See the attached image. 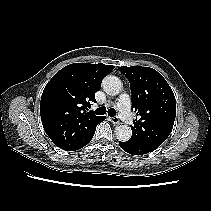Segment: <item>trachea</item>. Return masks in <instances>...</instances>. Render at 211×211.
Returning a JSON list of instances; mask_svg holds the SVG:
<instances>
[{
    "label": "trachea",
    "instance_id": "obj_1",
    "mask_svg": "<svg viewBox=\"0 0 211 211\" xmlns=\"http://www.w3.org/2000/svg\"><path fill=\"white\" fill-rule=\"evenodd\" d=\"M106 112L108 113V115L110 117H114L116 115V110L114 108H110L107 111L106 108L102 106V107H99L98 109H96V111H95V113L97 115H104V114H106Z\"/></svg>",
    "mask_w": 211,
    "mask_h": 211
}]
</instances>
